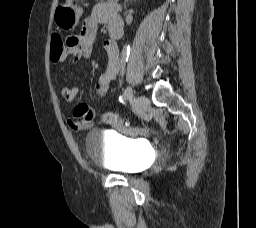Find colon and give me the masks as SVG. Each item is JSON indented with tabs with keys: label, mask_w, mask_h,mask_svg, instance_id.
<instances>
[{
	"label": "colon",
	"mask_w": 256,
	"mask_h": 228,
	"mask_svg": "<svg viewBox=\"0 0 256 228\" xmlns=\"http://www.w3.org/2000/svg\"><path fill=\"white\" fill-rule=\"evenodd\" d=\"M64 50V42L60 35L53 34L51 37V59H58ZM100 121L109 126H117L123 123L122 117L115 112H105L100 116Z\"/></svg>",
	"instance_id": "1"
}]
</instances>
